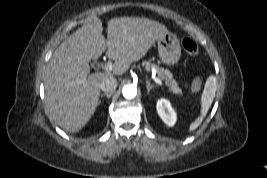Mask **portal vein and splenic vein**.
Segmentation results:
<instances>
[{"label":"portal vein and splenic vein","instance_id":"18ae733b","mask_svg":"<svg viewBox=\"0 0 267 178\" xmlns=\"http://www.w3.org/2000/svg\"><path fill=\"white\" fill-rule=\"evenodd\" d=\"M102 69L105 70V71L110 72V71L113 70V65L111 63H107L102 67ZM153 79L157 84H159V85L163 84L162 81L158 77H154Z\"/></svg>","mask_w":267,"mask_h":178}]
</instances>
